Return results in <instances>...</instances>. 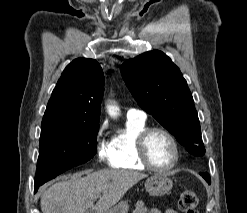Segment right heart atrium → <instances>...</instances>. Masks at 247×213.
I'll list each match as a JSON object with an SVG mask.
<instances>
[{"instance_id":"1","label":"right heart atrium","mask_w":247,"mask_h":213,"mask_svg":"<svg viewBox=\"0 0 247 213\" xmlns=\"http://www.w3.org/2000/svg\"><path fill=\"white\" fill-rule=\"evenodd\" d=\"M106 128V123L101 124L96 134V155L102 162H109L110 160L109 144L103 139Z\"/></svg>"}]
</instances>
